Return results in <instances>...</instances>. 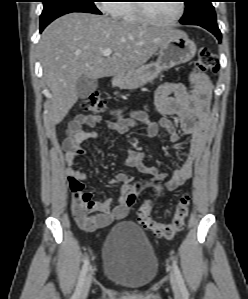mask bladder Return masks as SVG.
Masks as SVG:
<instances>
[{"label":"bladder","mask_w":248,"mask_h":299,"mask_svg":"<svg viewBox=\"0 0 248 299\" xmlns=\"http://www.w3.org/2000/svg\"><path fill=\"white\" fill-rule=\"evenodd\" d=\"M105 276L115 286L129 291L148 286L158 272L153 244L134 222L115 225L104 243Z\"/></svg>","instance_id":"31cf9c89"}]
</instances>
